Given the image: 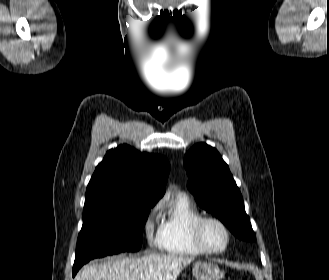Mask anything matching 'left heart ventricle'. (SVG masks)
<instances>
[{
    "instance_id": "obj_1",
    "label": "left heart ventricle",
    "mask_w": 329,
    "mask_h": 280,
    "mask_svg": "<svg viewBox=\"0 0 329 280\" xmlns=\"http://www.w3.org/2000/svg\"><path fill=\"white\" fill-rule=\"evenodd\" d=\"M203 240L211 249H220L225 245L226 235L215 223H208L203 229Z\"/></svg>"
}]
</instances>
